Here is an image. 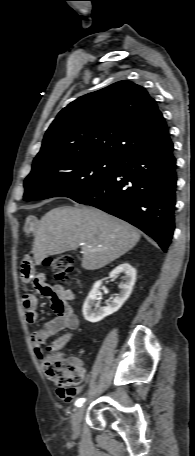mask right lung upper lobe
I'll list each match as a JSON object with an SVG mask.
<instances>
[{
	"mask_svg": "<svg viewBox=\"0 0 195 456\" xmlns=\"http://www.w3.org/2000/svg\"><path fill=\"white\" fill-rule=\"evenodd\" d=\"M170 141L156 101L141 86L119 81L71 102L48 128L33 166L66 157L119 161Z\"/></svg>",
	"mask_w": 195,
	"mask_h": 456,
	"instance_id": "right-lung-upper-lobe-1",
	"label": "right lung upper lobe"
}]
</instances>
